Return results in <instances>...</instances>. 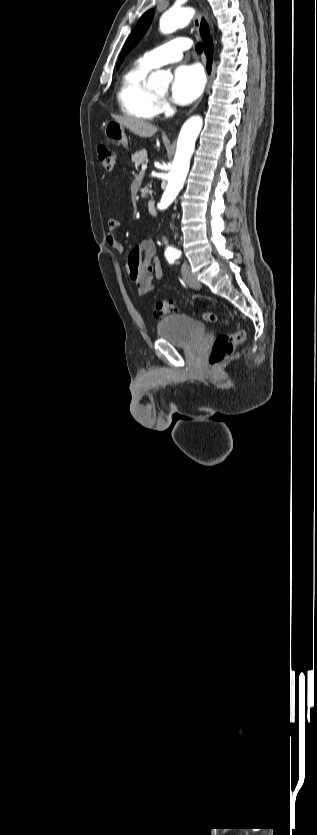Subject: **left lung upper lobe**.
<instances>
[{"mask_svg":"<svg viewBox=\"0 0 317 835\" xmlns=\"http://www.w3.org/2000/svg\"><path fill=\"white\" fill-rule=\"evenodd\" d=\"M153 18V10L147 11L138 21L137 25L128 37L125 46L120 54L117 68L123 61L124 57L132 50V48L139 42L146 30L148 29Z\"/></svg>","mask_w":317,"mask_h":835,"instance_id":"1","label":"left lung upper lobe"}]
</instances>
